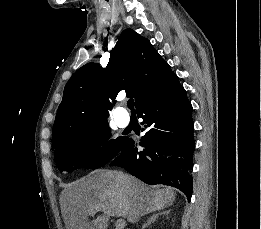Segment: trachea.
<instances>
[{
  "mask_svg": "<svg viewBox=\"0 0 261 229\" xmlns=\"http://www.w3.org/2000/svg\"><path fill=\"white\" fill-rule=\"evenodd\" d=\"M127 106L133 112L134 111V100L133 99H129L128 102H127Z\"/></svg>",
  "mask_w": 261,
  "mask_h": 229,
  "instance_id": "1",
  "label": "trachea"
}]
</instances>
